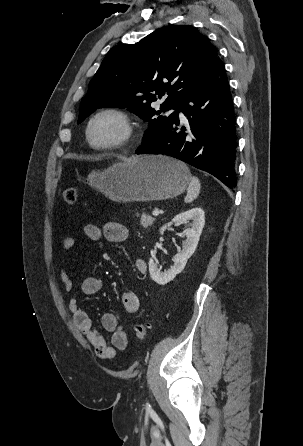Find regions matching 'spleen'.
Here are the masks:
<instances>
[{"mask_svg":"<svg viewBox=\"0 0 303 446\" xmlns=\"http://www.w3.org/2000/svg\"><path fill=\"white\" fill-rule=\"evenodd\" d=\"M200 189H201V184L199 179L194 176L191 177L189 187L187 189V195L185 197V202L190 203L193 200H195L200 193Z\"/></svg>","mask_w":303,"mask_h":446,"instance_id":"obj_1","label":"spleen"}]
</instances>
